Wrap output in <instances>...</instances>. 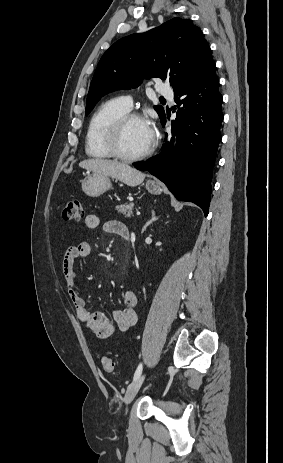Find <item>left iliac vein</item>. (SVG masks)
Listing matches in <instances>:
<instances>
[{
    "instance_id": "1",
    "label": "left iliac vein",
    "mask_w": 283,
    "mask_h": 463,
    "mask_svg": "<svg viewBox=\"0 0 283 463\" xmlns=\"http://www.w3.org/2000/svg\"><path fill=\"white\" fill-rule=\"evenodd\" d=\"M144 379H145V374H142L128 386L125 397H124V403L126 405H128L134 399L140 387L142 386Z\"/></svg>"
}]
</instances>
